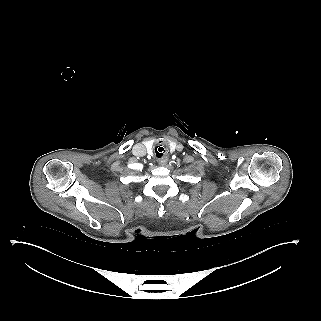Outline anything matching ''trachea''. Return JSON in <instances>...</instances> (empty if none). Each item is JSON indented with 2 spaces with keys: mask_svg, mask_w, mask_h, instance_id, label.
<instances>
[{
  "mask_svg": "<svg viewBox=\"0 0 321 321\" xmlns=\"http://www.w3.org/2000/svg\"><path fill=\"white\" fill-rule=\"evenodd\" d=\"M151 152H152L153 156H155L157 158H161V157L165 156L167 149H166L165 145H163L161 143H157V144L153 145Z\"/></svg>",
  "mask_w": 321,
  "mask_h": 321,
  "instance_id": "trachea-1",
  "label": "trachea"
}]
</instances>
